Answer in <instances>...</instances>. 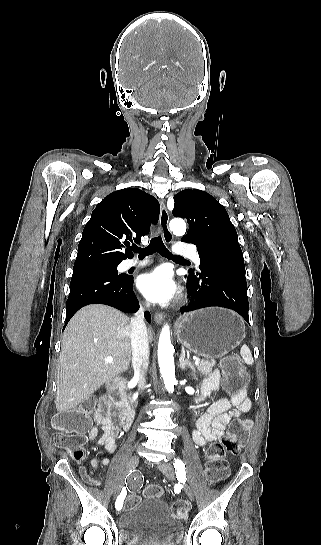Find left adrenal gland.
Wrapping results in <instances>:
<instances>
[{
	"label": "left adrenal gland",
	"instance_id": "a2214340",
	"mask_svg": "<svg viewBox=\"0 0 321 545\" xmlns=\"http://www.w3.org/2000/svg\"><path fill=\"white\" fill-rule=\"evenodd\" d=\"M179 367H180V369H186V367H189V369H191L193 375H195V373H196L194 365H192V363H190V361H187V359H185L184 349H182V351H181V355H180V359H179Z\"/></svg>",
	"mask_w": 321,
	"mask_h": 545
}]
</instances>
